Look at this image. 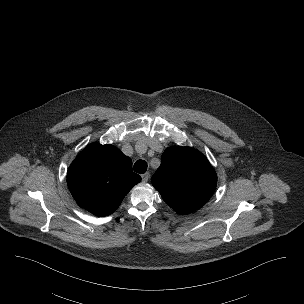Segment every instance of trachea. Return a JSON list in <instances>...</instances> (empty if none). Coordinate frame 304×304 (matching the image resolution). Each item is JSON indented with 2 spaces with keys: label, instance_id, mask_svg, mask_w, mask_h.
I'll return each mask as SVG.
<instances>
[{
  "label": "trachea",
  "instance_id": "1",
  "mask_svg": "<svg viewBox=\"0 0 304 304\" xmlns=\"http://www.w3.org/2000/svg\"><path fill=\"white\" fill-rule=\"evenodd\" d=\"M134 171L140 174H144L147 171V163L144 160H138L134 164Z\"/></svg>",
  "mask_w": 304,
  "mask_h": 304
}]
</instances>
